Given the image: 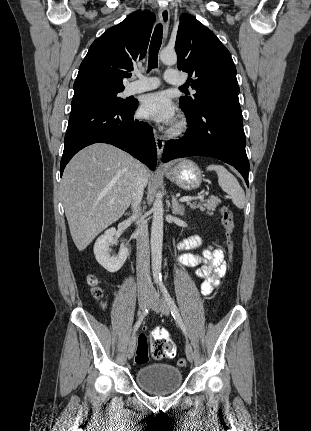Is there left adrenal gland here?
Segmentation results:
<instances>
[{"mask_svg": "<svg viewBox=\"0 0 311 431\" xmlns=\"http://www.w3.org/2000/svg\"><path fill=\"white\" fill-rule=\"evenodd\" d=\"M172 214H176V216H184V206L183 204H178L175 196H172Z\"/></svg>", "mask_w": 311, "mask_h": 431, "instance_id": "left-adrenal-gland-1", "label": "left adrenal gland"}]
</instances>
